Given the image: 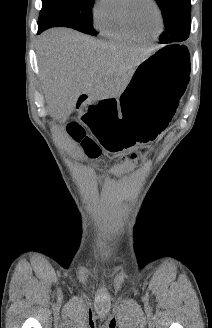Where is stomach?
<instances>
[{"instance_id": "0dacf381", "label": "stomach", "mask_w": 212, "mask_h": 328, "mask_svg": "<svg viewBox=\"0 0 212 328\" xmlns=\"http://www.w3.org/2000/svg\"><path fill=\"white\" fill-rule=\"evenodd\" d=\"M188 74L189 60L182 46L160 47L135 68L117 102H88L81 123L109 151L122 152L152 141L167 129Z\"/></svg>"}]
</instances>
